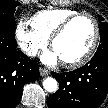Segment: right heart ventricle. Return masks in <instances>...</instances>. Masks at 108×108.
<instances>
[{
    "label": "right heart ventricle",
    "instance_id": "obj_1",
    "mask_svg": "<svg viewBox=\"0 0 108 108\" xmlns=\"http://www.w3.org/2000/svg\"><path fill=\"white\" fill-rule=\"evenodd\" d=\"M78 13L67 8L45 9L37 12L30 18L33 29L41 36L50 39L56 28L68 17Z\"/></svg>",
    "mask_w": 108,
    "mask_h": 108
}]
</instances>
